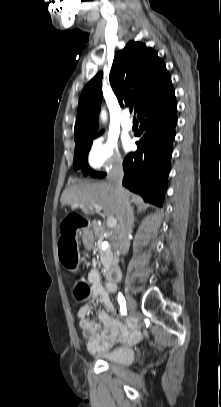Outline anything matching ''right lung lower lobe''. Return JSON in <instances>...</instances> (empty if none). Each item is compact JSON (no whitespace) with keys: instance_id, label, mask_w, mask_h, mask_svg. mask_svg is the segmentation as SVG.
<instances>
[{"instance_id":"right-lung-lower-lobe-1","label":"right lung lower lobe","mask_w":221,"mask_h":407,"mask_svg":"<svg viewBox=\"0 0 221 407\" xmlns=\"http://www.w3.org/2000/svg\"><path fill=\"white\" fill-rule=\"evenodd\" d=\"M177 103L173 86L138 113V149L123 162L122 184L145 201L162 206L170 172V158L177 123Z\"/></svg>"}]
</instances>
